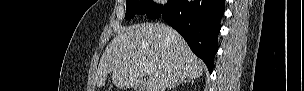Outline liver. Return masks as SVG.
Segmentation results:
<instances>
[{
	"label": "liver",
	"mask_w": 304,
	"mask_h": 91,
	"mask_svg": "<svg viewBox=\"0 0 304 91\" xmlns=\"http://www.w3.org/2000/svg\"><path fill=\"white\" fill-rule=\"evenodd\" d=\"M143 64L152 71L147 91H165L170 84L196 79L204 68L178 32L164 24L144 23L122 29L110 42L97 69L96 85L105 86L110 74L116 87L136 88L145 74Z\"/></svg>",
	"instance_id": "liver-1"
}]
</instances>
